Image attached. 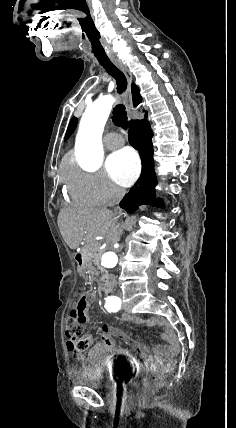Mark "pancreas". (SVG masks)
Masks as SVG:
<instances>
[{
    "instance_id": "obj_1",
    "label": "pancreas",
    "mask_w": 236,
    "mask_h": 428,
    "mask_svg": "<svg viewBox=\"0 0 236 428\" xmlns=\"http://www.w3.org/2000/svg\"><path fill=\"white\" fill-rule=\"evenodd\" d=\"M82 254H84L88 266H92V262L95 266H99V260L102 256V252H98V254H96L92 246L87 244V246H84Z\"/></svg>"
}]
</instances>
